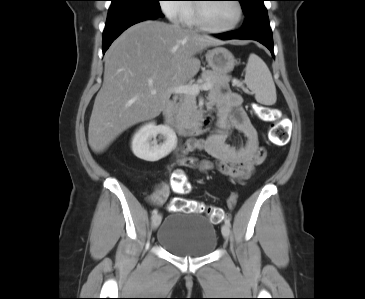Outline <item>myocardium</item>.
<instances>
[{"label":"myocardium","instance_id":"obj_1","mask_svg":"<svg viewBox=\"0 0 365 299\" xmlns=\"http://www.w3.org/2000/svg\"><path fill=\"white\" fill-rule=\"evenodd\" d=\"M235 2L237 10H238V17L234 24H232L229 27L225 28H217L209 25V23L206 20L205 14H204V5L203 3H198L194 5V15H195V22L198 27L201 29L211 32V33H227L235 30L242 22L243 16H244V10L243 6L240 2V0H233Z\"/></svg>","mask_w":365,"mask_h":299}]
</instances>
